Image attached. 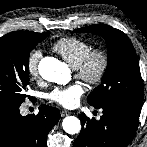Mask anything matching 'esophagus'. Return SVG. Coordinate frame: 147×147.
<instances>
[{
  "label": "esophagus",
  "mask_w": 147,
  "mask_h": 147,
  "mask_svg": "<svg viewBox=\"0 0 147 147\" xmlns=\"http://www.w3.org/2000/svg\"><path fill=\"white\" fill-rule=\"evenodd\" d=\"M70 113L71 112H69V111L63 110V111H61V117H65V116L69 115Z\"/></svg>",
  "instance_id": "1"
}]
</instances>
